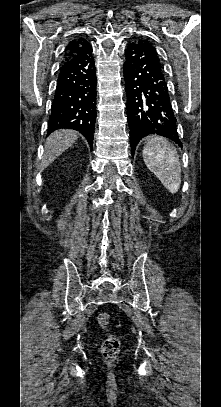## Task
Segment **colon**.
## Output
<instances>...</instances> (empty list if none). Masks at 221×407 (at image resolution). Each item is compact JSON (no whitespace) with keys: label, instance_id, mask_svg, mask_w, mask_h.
I'll return each mask as SVG.
<instances>
[{"label":"colon","instance_id":"colon-1","mask_svg":"<svg viewBox=\"0 0 221 407\" xmlns=\"http://www.w3.org/2000/svg\"><path fill=\"white\" fill-rule=\"evenodd\" d=\"M98 323L102 328H108L110 323L108 314L100 313L98 316ZM119 348L120 338L115 334H110L103 340L101 345V353L103 358L108 362H112L117 357Z\"/></svg>","mask_w":221,"mask_h":407}]
</instances>
